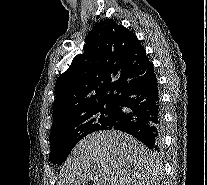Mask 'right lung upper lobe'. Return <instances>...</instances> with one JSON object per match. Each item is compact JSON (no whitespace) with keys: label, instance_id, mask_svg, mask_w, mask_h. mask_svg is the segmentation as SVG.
<instances>
[{"label":"right lung upper lobe","instance_id":"cb5924a9","mask_svg":"<svg viewBox=\"0 0 207 185\" xmlns=\"http://www.w3.org/2000/svg\"><path fill=\"white\" fill-rule=\"evenodd\" d=\"M154 74L153 64L136 35L114 20L91 30L84 53L57 80L55 126L85 111L117 101L129 84Z\"/></svg>","mask_w":207,"mask_h":185}]
</instances>
